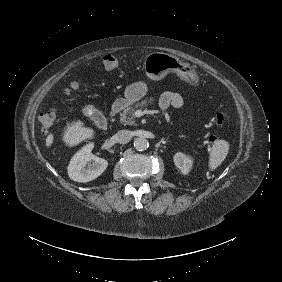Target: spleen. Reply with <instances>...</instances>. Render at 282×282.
Wrapping results in <instances>:
<instances>
[{
  "instance_id": "obj_1",
  "label": "spleen",
  "mask_w": 282,
  "mask_h": 282,
  "mask_svg": "<svg viewBox=\"0 0 282 282\" xmlns=\"http://www.w3.org/2000/svg\"><path fill=\"white\" fill-rule=\"evenodd\" d=\"M229 147V143L225 140H217L213 144L208 164L211 171L215 170L218 166L221 165V163L227 157Z\"/></svg>"
}]
</instances>
